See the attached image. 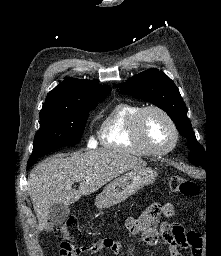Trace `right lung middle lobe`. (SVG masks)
<instances>
[{
  "instance_id": "dd1d6c3e",
  "label": "right lung middle lobe",
  "mask_w": 221,
  "mask_h": 256,
  "mask_svg": "<svg viewBox=\"0 0 221 256\" xmlns=\"http://www.w3.org/2000/svg\"><path fill=\"white\" fill-rule=\"evenodd\" d=\"M106 96L82 100L72 110L40 112V129L35 135L33 152L27 167L32 166L39 157L48 154L51 150L76 145L83 135L89 111Z\"/></svg>"
}]
</instances>
